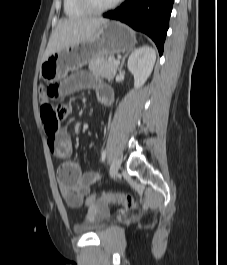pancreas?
<instances>
[{
  "instance_id": "obj_1",
  "label": "pancreas",
  "mask_w": 227,
  "mask_h": 265,
  "mask_svg": "<svg viewBox=\"0 0 227 265\" xmlns=\"http://www.w3.org/2000/svg\"><path fill=\"white\" fill-rule=\"evenodd\" d=\"M114 62L115 58L113 57H97L89 62V69L93 75L111 80L117 72V65Z\"/></svg>"
}]
</instances>
